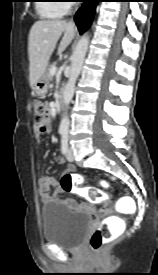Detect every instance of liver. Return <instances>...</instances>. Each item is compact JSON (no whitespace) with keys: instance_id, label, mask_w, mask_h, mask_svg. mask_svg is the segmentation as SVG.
<instances>
[{"instance_id":"6515ba94","label":"liver","mask_w":158,"mask_h":275,"mask_svg":"<svg viewBox=\"0 0 158 275\" xmlns=\"http://www.w3.org/2000/svg\"><path fill=\"white\" fill-rule=\"evenodd\" d=\"M62 33L64 36L60 42L58 54H61L74 39L76 34L74 23L61 20H39L32 25L28 39L31 88L45 73L49 59Z\"/></svg>"}]
</instances>
